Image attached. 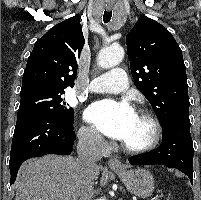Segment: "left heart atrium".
I'll return each mask as SVG.
<instances>
[{
  "mask_svg": "<svg viewBox=\"0 0 201 200\" xmlns=\"http://www.w3.org/2000/svg\"><path fill=\"white\" fill-rule=\"evenodd\" d=\"M131 105L126 102H96L86 112V119L110 138L123 141L135 117Z\"/></svg>",
  "mask_w": 201,
  "mask_h": 200,
  "instance_id": "left-heart-atrium-1",
  "label": "left heart atrium"
}]
</instances>
